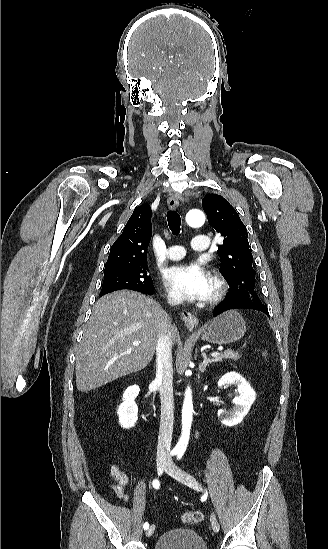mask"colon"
I'll use <instances>...</instances> for the list:
<instances>
[{
	"label": "colon",
	"mask_w": 328,
	"mask_h": 549,
	"mask_svg": "<svg viewBox=\"0 0 328 549\" xmlns=\"http://www.w3.org/2000/svg\"><path fill=\"white\" fill-rule=\"evenodd\" d=\"M265 355L266 353L264 352L263 356ZM182 520L186 524H197L202 522L203 514L199 511H189L183 515Z\"/></svg>",
	"instance_id": "1"
}]
</instances>
